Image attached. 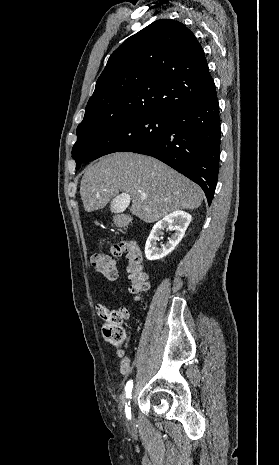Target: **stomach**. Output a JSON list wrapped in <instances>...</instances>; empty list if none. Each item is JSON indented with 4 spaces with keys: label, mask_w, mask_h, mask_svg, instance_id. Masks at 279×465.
I'll return each mask as SVG.
<instances>
[{
    "label": "stomach",
    "mask_w": 279,
    "mask_h": 465,
    "mask_svg": "<svg viewBox=\"0 0 279 465\" xmlns=\"http://www.w3.org/2000/svg\"><path fill=\"white\" fill-rule=\"evenodd\" d=\"M115 222H116L117 225H123V224H124V222H123L121 219H119V218H117V219L115 220Z\"/></svg>",
    "instance_id": "stomach-1"
}]
</instances>
